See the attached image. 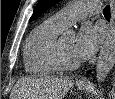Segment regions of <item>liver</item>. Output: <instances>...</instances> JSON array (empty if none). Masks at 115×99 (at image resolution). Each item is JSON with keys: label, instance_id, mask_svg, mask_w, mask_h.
Instances as JSON below:
<instances>
[{"label": "liver", "instance_id": "6515ba94", "mask_svg": "<svg viewBox=\"0 0 115 99\" xmlns=\"http://www.w3.org/2000/svg\"><path fill=\"white\" fill-rule=\"evenodd\" d=\"M74 80L61 76L21 78L14 87L17 99H63Z\"/></svg>", "mask_w": 115, "mask_h": 99}]
</instances>
